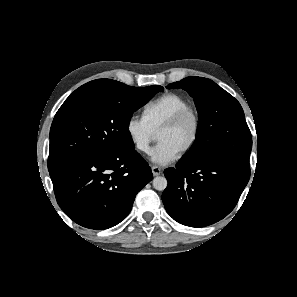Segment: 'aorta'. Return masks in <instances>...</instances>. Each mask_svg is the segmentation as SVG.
<instances>
[{
  "label": "aorta",
  "instance_id": "aorta-1",
  "mask_svg": "<svg viewBox=\"0 0 297 297\" xmlns=\"http://www.w3.org/2000/svg\"><path fill=\"white\" fill-rule=\"evenodd\" d=\"M153 187L156 190L163 191L167 187V179L163 176H157L153 179Z\"/></svg>",
  "mask_w": 297,
  "mask_h": 297
}]
</instances>
